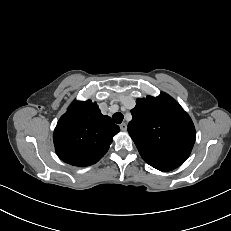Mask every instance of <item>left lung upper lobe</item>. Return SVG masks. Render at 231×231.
Here are the masks:
<instances>
[{
	"instance_id": "5c2ea615",
	"label": "left lung upper lobe",
	"mask_w": 231,
	"mask_h": 231,
	"mask_svg": "<svg viewBox=\"0 0 231 231\" xmlns=\"http://www.w3.org/2000/svg\"><path fill=\"white\" fill-rule=\"evenodd\" d=\"M128 132L141 157L160 171L179 167L190 155L196 132L190 116L166 93L139 98Z\"/></svg>"
}]
</instances>
